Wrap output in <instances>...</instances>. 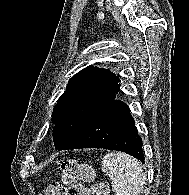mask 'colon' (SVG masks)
<instances>
[{"instance_id":"obj_1","label":"colon","mask_w":189,"mask_h":195,"mask_svg":"<svg viewBox=\"0 0 189 195\" xmlns=\"http://www.w3.org/2000/svg\"><path fill=\"white\" fill-rule=\"evenodd\" d=\"M61 181L47 186L46 195H80V181L93 179L91 171L85 164L63 161L59 165ZM93 195H108V187L104 180H97L93 185Z\"/></svg>"}]
</instances>
